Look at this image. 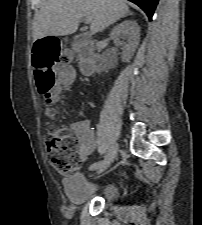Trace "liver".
<instances>
[{"label": "liver", "mask_w": 202, "mask_h": 225, "mask_svg": "<svg viewBox=\"0 0 202 225\" xmlns=\"http://www.w3.org/2000/svg\"><path fill=\"white\" fill-rule=\"evenodd\" d=\"M130 13L124 0H46L33 20V39L75 33L83 17L94 35Z\"/></svg>", "instance_id": "liver-1"}]
</instances>
